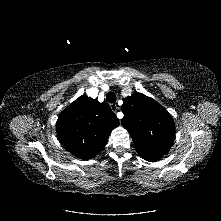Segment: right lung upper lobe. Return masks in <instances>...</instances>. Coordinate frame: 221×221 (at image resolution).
Returning <instances> with one entry per match:
<instances>
[{
    "instance_id": "cb5924a9",
    "label": "right lung upper lobe",
    "mask_w": 221,
    "mask_h": 221,
    "mask_svg": "<svg viewBox=\"0 0 221 221\" xmlns=\"http://www.w3.org/2000/svg\"><path fill=\"white\" fill-rule=\"evenodd\" d=\"M119 120L106 103L82 96L70 104L56 124L61 144L73 155L90 159L106 145Z\"/></svg>"
}]
</instances>
